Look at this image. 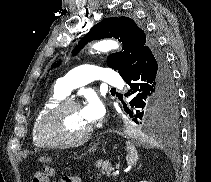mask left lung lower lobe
<instances>
[{
    "label": "left lung lower lobe",
    "mask_w": 211,
    "mask_h": 182,
    "mask_svg": "<svg viewBox=\"0 0 211 182\" xmlns=\"http://www.w3.org/2000/svg\"><path fill=\"white\" fill-rule=\"evenodd\" d=\"M129 85L126 96H131L129 102L135 110L133 121L142 120L146 100L151 101L156 108L158 117L165 123L174 121L178 116L177 91L173 75L168 67L166 57L154 40L142 51L134 67L122 77Z\"/></svg>",
    "instance_id": "0a47b994"
}]
</instances>
